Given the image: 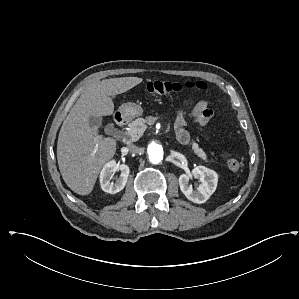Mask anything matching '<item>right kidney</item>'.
<instances>
[{
	"label": "right kidney",
	"mask_w": 299,
	"mask_h": 299,
	"mask_svg": "<svg viewBox=\"0 0 299 299\" xmlns=\"http://www.w3.org/2000/svg\"><path fill=\"white\" fill-rule=\"evenodd\" d=\"M119 170L121 171L120 177L115 182H111L112 176ZM128 176L129 167L125 164H117L115 160H112L104 165L100 173L101 188L107 193L116 194L125 187Z\"/></svg>",
	"instance_id": "obj_1"
}]
</instances>
